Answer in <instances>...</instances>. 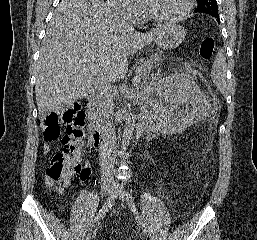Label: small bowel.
Returning a JSON list of instances; mask_svg holds the SVG:
<instances>
[{
    "label": "small bowel",
    "mask_w": 257,
    "mask_h": 240,
    "mask_svg": "<svg viewBox=\"0 0 257 240\" xmlns=\"http://www.w3.org/2000/svg\"><path fill=\"white\" fill-rule=\"evenodd\" d=\"M52 149V141H47L46 140V144L44 145V148H43V151L45 154L49 153ZM86 168V175L85 176H82L80 177L81 180H85L89 177V174H90V168L88 165L85 166Z\"/></svg>",
    "instance_id": "small-bowel-1"
}]
</instances>
